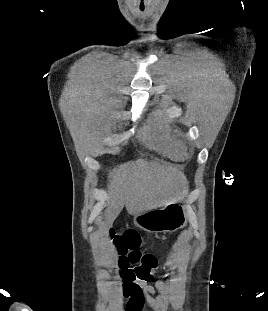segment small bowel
<instances>
[{"mask_svg": "<svg viewBox=\"0 0 268 311\" xmlns=\"http://www.w3.org/2000/svg\"><path fill=\"white\" fill-rule=\"evenodd\" d=\"M162 280L150 284L145 280H137L134 283L135 290L125 295L124 285L122 295L128 299L126 311H143L144 305L148 304L153 311H165L166 305L160 292L164 288Z\"/></svg>", "mask_w": 268, "mask_h": 311, "instance_id": "obj_1", "label": "small bowel"}]
</instances>
